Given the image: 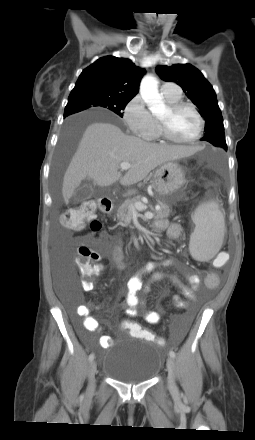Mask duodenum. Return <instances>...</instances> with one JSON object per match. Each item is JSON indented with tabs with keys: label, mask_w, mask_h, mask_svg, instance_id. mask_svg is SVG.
<instances>
[{
	"label": "duodenum",
	"mask_w": 255,
	"mask_h": 440,
	"mask_svg": "<svg viewBox=\"0 0 255 440\" xmlns=\"http://www.w3.org/2000/svg\"><path fill=\"white\" fill-rule=\"evenodd\" d=\"M100 210L103 213H111L114 208V203L109 199H102L99 202Z\"/></svg>",
	"instance_id": "obj_1"
}]
</instances>
